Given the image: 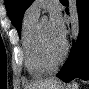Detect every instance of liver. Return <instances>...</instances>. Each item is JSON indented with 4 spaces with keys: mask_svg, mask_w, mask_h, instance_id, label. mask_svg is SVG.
<instances>
[{
    "mask_svg": "<svg viewBox=\"0 0 89 89\" xmlns=\"http://www.w3.org/2000/svg\"><path fill=\"white\" fill-rule=\"evenodd\" d=\"M59 83L60 82L55 78L47 80H39L28 85L27 89H51L55 84Z\"/></svg>",
    "mask_w": 89,
    "mask_h": 89,
    "instance_id": "liver-1",
    "label": "liver"
}]
</instances>
